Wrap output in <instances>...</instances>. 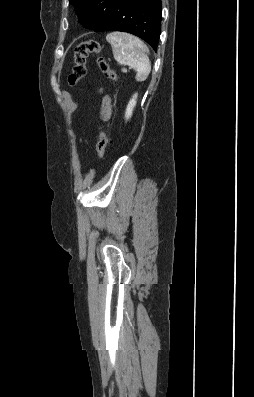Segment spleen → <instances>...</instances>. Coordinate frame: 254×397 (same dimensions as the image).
I'll list each match as a JSON object with an SVG mask.
<instances>
[{
  "label": "spleen",
  "mask_w": 254,
  "mask_h": 397,
  "mask_svg": "<svg viewBox=\"0 0 254 397\" xmlns=\"http://www.w3.org/2000/svg\"><path fill=\"white\" fill-rule=\"evenodd\" d=\"M106 40L117 63L134 69L137 81H145L151 71L148 47L138 37L124 32L109 33Z\"/></svg>",
  "instance_id": "1"
}]
</instances>
